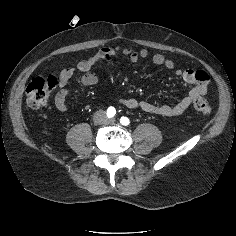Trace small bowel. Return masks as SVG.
<instances>
[{
    "instance_id": "c3829d8e",
    "label": "small bowel",
    "mask_w": 236,
    "mask_h": 236,
    "mask_svg": "<svg viewBox=\"0 0 236 236\" xmlns=\"http://www.w3.org/2000/svg\"><path fill=\"white\" fill-rule=\"evenodd\" d=\"M117 54L126 56L132 62L147 60L148 58H151V61L156 66H161L168 70H173L175 68V64L172 60L167 59L163 54L160 53H156L150 56V53L147 49L134 50L128 47L121 48L118 46L102 48L96 54L78 62L74 67H69L61 71L58 82L59 90L54 98L55 107L61 112H65L67 110L66 100L70 93L69 89L67 88V84L76 72L83 73L81 77L82 85H96L99 79L95 73L91 72V68L97 62L101 60H111ZM175 75L181 78L182 81L186 84L192 86L190 91L182 99L175 103L166 102L163 105L158 106L148 101L122 97L116 98V101L127 108L139 109L143 112L153 115L165 117L179 116L189 108L192 101L206 94L209 83V76L203 70L193 69H177L175 70Z\"/></svg>"
}]
</instances>
